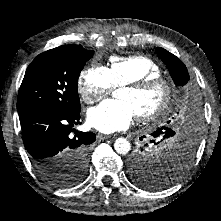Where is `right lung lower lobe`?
Listing matches in <instances>:
<instances>
[{
  "mask_svg": "<svg viewBox=\"0 0 221 221\" xmlns=\"http://www.w3.org/2000/svg\"><path fill=\"white\" fill-rule=\"evenodd\" d=\"M19 119L24 145L39 173L61 163L66 153L90 146L96 139L93 132L78 133L73 129L74 125L81 124L80 110L31 108L19 114Z\"/></svg>",
  "mask_w": 221,
  "mask_h": 221,
  "instance_id": "98d812e1",
  "label": "right lung lower lobe"
}]
</instances>
